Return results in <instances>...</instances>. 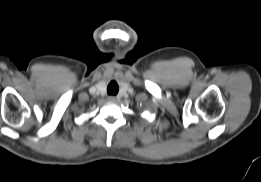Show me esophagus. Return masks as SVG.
<instances>
[{"instance_id": "esophagus-1", "label": "esophagus", "mask_w": 261, "mask_h": 182, "mask_svg": "<svg viewBox=\"0 0 261 182\" xmlns=\"http://www.w3.org/2000/svg\"><path fill=\"white\" fill-rule=\"evenodd\" d=\"M108 101L115 102L116 101V97L115 96H109L108 97Z\"/></svg>"}]
</instances>
